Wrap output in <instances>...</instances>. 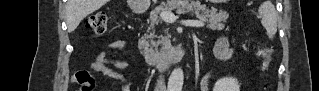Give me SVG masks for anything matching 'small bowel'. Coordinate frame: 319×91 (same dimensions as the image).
<instances>
[{"instance_id": "obj_1", "label": "small bowel", "mask_w": 319, "mask_h": 91, "mask_svg": "<svg viewBox=\"0 0 319 91\" xmlns=\"http://www.w3.org/2000/svg\"><path fill=\"white\" fill-rule=\"evenodd\" d=\"M233 42H234V39L229 35L223 34L218 36L216 40L215 48H214L215 56L221 61H226L230 59L233 54V48L231 47ZM108 47L118 51H124L127 49L126 43L121 40L110 41L108 44ZM131 66H132V62L129 59L114 58L105 52L96 53V55L94 56V59L92 60L90 64V67L92 70L100 74H103L105 76L111 77L115 81H117L122 87L123 91L131 90L130 88L131 81L125 78L119 72V70L130 69ZM82 73L83 72H78L76 74L77 80ZM212 78H213V74L209 73L202 79L200 83L201 91L209 90Z\"/></svg>"}]
</instances>
